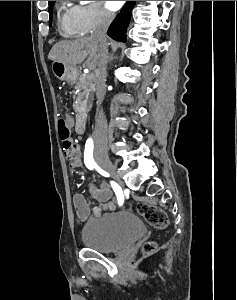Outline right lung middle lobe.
Listing matches in <instances>:
<instances>
[{"mask_svg": "<svg viewBox=\"0 0 237 300\" xmlns=\"http://www.w3.org/2000/svg\"><path fill=\"white\" fill-rule=\"evenodd\" d=\"M55 1H53L52 3L49 4V12H50V20H49V24L51 25V19H52V7L54 5Z\"/></svg>", "mask_w": 237, "mask_h": 300, "instance_id": "1", "label": "right lung middle lobe"}]
</instances>
